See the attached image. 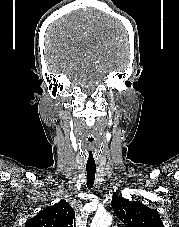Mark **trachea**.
I'll use <instances>...</instances> for the list:
<instances>
[{"label":"trachea","instance_id":"1","mask_svg":"<svg viewBox=\"0 0 179 227\" xmlns=\"http://www.w3.org/2000/svg\"><path fill=\"white\" fill-rule=\"evenodd\" d=\"M88 158L87 159V164H86V171H87V187L89 189H91L93 187L94 184V180H95V173H96V161H95V154L94 152L91 150L88 154Z\"/></svg>","mask_w":179,"mask_h":227}]
</instances>
